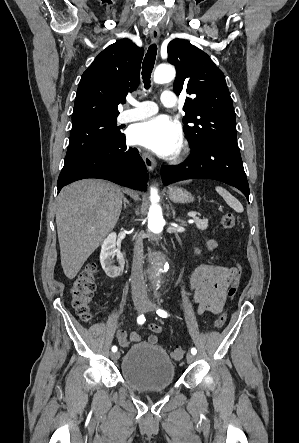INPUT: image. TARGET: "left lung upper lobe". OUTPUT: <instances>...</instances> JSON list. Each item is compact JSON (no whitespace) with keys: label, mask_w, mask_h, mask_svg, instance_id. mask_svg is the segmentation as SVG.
I'll use <instances>...</instances> for the list:
<instances>
[{"label":"left lung upper lobe","mask_w":299,"mask_h":443,"mask_svg":"<svg viewBox=\"0 0 299 443\" xmlns=\"http://www.w3.org/2000/svg\"><path fill=\"white\" fill-rule=\"evenodd\" d=\"M168 61L177 69L175 93L186 91L192 95L183 107L184 132L190 147L211 141L238 147L235 111L222 71L205 52L183 39L168 44Z\"/></svg>","instance_id":"1"}]
</instances>
